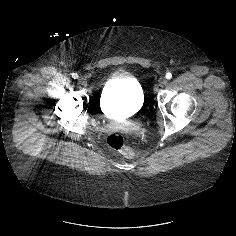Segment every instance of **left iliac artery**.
Listing matches in <instances>:
<instances>
[{"instance_id":"left-iliac-artery-1","label":"left iliac artery","mask_w":236,"mask_h":236,"mask_svg":"<svg viewBox=\"0 0 236 236\" xmlns=\"http://www.w3.org/2000/svg\"><path fill=\"white\" fill-rule=\"evenodd\" d=\"M166 79H171L172 78V74L170 72L166 73Z\"/></svg>"}]
</instances>
